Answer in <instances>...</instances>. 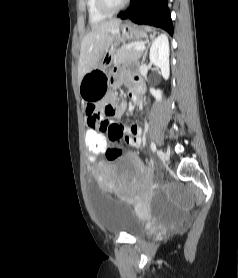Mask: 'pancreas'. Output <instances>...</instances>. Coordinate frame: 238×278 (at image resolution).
Here are the masks:
<instances>
[{"label":"pancreas","mask_w":238,"mask_h":278,"mask_svg":"<svg viewBox=\"0 0 238 278\" xmlns=\"http://www.w3.org/2000/svg\"><path fill=\"white\" fill-rule=\"evenodd\" d=\"M136 43L133 45H123L116 51L114 55L115 64L123 63V62H131L136 61L140 58L142 52L138 50H134Z\"/></svg>","instance_id":"1"}]
</instances>
